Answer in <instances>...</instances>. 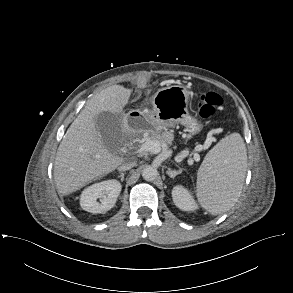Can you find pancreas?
<instances>
[{"label":"pancreas","mask_w":293,"mask_h":293,"mask_svg":"<svg viewBox=\"0 0 293 293\" xmlns=\"http://www.w3.org/2000/svg\"><path fill=\"white\" fill-rule=\"evenodd\" d=\"M148 139L157 140L159 142H164L166 144H171L172 134L170 132L164 131H156V132H147Z\"/></svg>","instance_id":"1"}]
</instances>
